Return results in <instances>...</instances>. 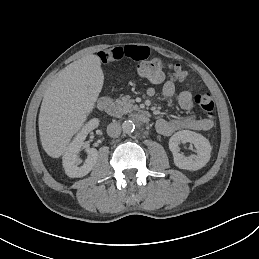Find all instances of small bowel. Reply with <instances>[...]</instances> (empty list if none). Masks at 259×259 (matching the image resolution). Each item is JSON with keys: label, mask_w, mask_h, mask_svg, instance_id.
I'll return each instance as SVG.
<instances>
[{"label": "small bowel", "mask_w": 259, "mask_h": 259, "mask_svg": "<svg viewBox=\"0 0 259 259\" xmlns=\"http://www.w3.org/2000/svg\"><path fill=\"white\" fill-rule=\"evenodd\" d=\"M149 53V48L146 46L123 45L99 52L98 59L104 64L118 61L123 58L140 61L146 59L149 56ZM175 92L176 87L172 80H168L163 84L162 94L164 97L171 98ZM147 93L149 96H154L156 94V89L151 87L148 89ZM178 102L180 107L186 111L187 114L173 119H158L156 122V129L160 134L170 136L182 130L207 131L213 127V119L208 117L199 118L192 113L194 101L191 89L182 91L179 94Z\"/></svg>", "instance_id": "c3829d8e"}]
</instances>
